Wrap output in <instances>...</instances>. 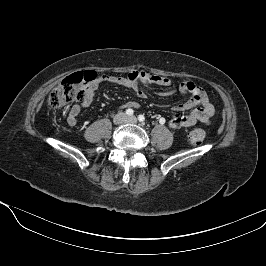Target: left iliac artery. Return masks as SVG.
Returning <instances> with one entry per match:
<instances>
[{
	"label": "left iliac artery",
	"mask_w": 266,
	"mask_h": 266,
	"mask_svg": "<svg viewBox=\"0 0 266 266\" xmlns=\"http://www.w3.org/2000/svg\"><path fill=\"white\" fill-rule=\"evenodd\" d=\"M138 120H139L140 122H144V121H145V117H144V115H139V116H138Z\"/></svg>",
	"instance_id": "44dca946"
}]
</instances>
